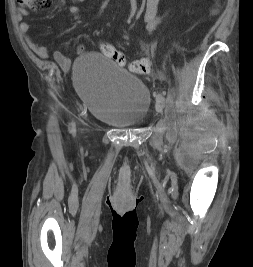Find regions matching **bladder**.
Segmentation results:
<instances>
[{"instance_id":"obj_1","label":"bladder","mask_w":253,"mask_h":267,"mask_svg":"<svg viewBox=\"0 0 253 267\" xmlns=\"http://www.w3.org/2000/svg\"><path fill=\"white\" fill-rule=\"evenodd\" d=\"M73 81L97 120L115 127L146 121L152 102L149 89L109 57L96 52L79 55L73 64Z\"/></svg>"}]
</instances>
